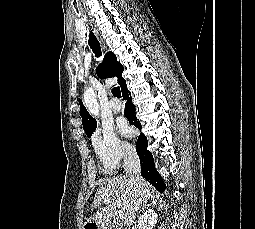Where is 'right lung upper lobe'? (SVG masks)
Listing matches in <instances>:
<instances>
[{
	"mask_svg": "<svg viewBox=\"0 0 255 229\" xmlns=\"http://www.w3.org/2000/svg\"><path fill=\"white\" fill-rule=\"evenodd\" d=\"M123 70V66L120 64V62H117L116 56L112 52H109L105 55L103 63L98 66L96 72L97 75L102 79L117 76L118 84L122 90L126 86V81L121 76ZM79 104L81 107L80 115L83 120L82 124L84 131L88 137H91L93 131L97 127V122L93 117L90 116L81 100H79Z\"/></svg>",
	"mask_w": 255,
	"mask_h": 229,
	"instance_id": "1",
	"label": "right lung upper lobe"
}]
</instances>
